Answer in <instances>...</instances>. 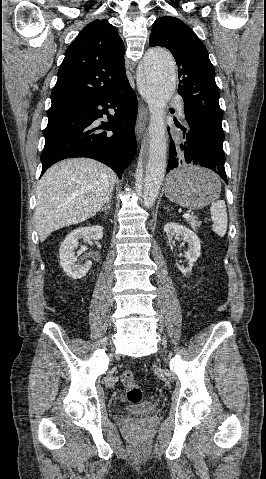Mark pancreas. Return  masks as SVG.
<instances>
[{"label": "pancreas", "mask_w": 266, "mask_h": 479, "mask_svg": "<svg viewBox=\"0 0 266 479\" xmlns=\"http://www.w3.org/2000/svg\"><path fill=\"white\" fill-rule=\"evenodd\" d=\"M186 221L193 230H197L201 224L196 218H187Z\"/></svg>", "instance_id": "obj_1"}]
</instances>
